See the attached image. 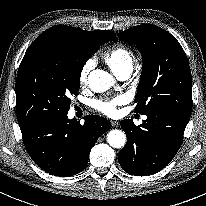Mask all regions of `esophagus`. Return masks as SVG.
<instances>
[{"label":"esophagus","instance_id":"34e87169","mask_svg":"<svg viewBox=\"0 0 206 206\" xmlns=\"http://www.w3.org/2000/svg\"><path fill=\"white\" fill-rule=\"evenodd\" d=\"M111 124H112L113 127H118L119 126V122L115 121V120H112Z\"/></svg>","mask_w":206,"mask_h":206}]
</instances>
